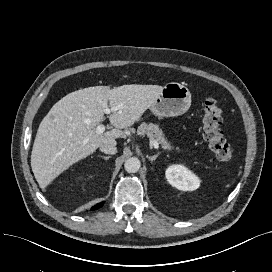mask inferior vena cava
I'll use <instances>...</instances> for the list:
<instances>
[{
  "label": "inferior vena cava",
  "instance_id": "602c4592",
  "mask_svg": "<svg viewBox=\"0 0 272 272\" xmlns=\"http://www.w3.org/2000/svg\"><path fill=\"white\" fill-rule=\"evenodd\" d=\"M100 150L105 154H116L117 147L116 143H105L100 146Z\"/></svg>",
  "mask_w": 272,
  "mask_h": 272
}]
</instances>
